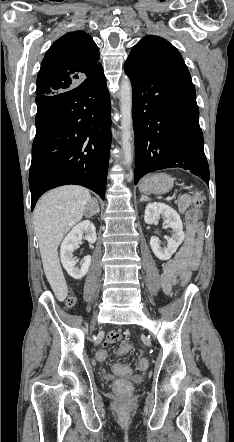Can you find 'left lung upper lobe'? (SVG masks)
I'll return each mask as SVG.
<instances>
[{
	"label": "left lung upper lobe",
	"instance_id": "5c2ea615",
	"mask_svg": "<svg viewBox=\"0 0 234 442\" xmlns=\"http://www.w3.org/2000/svg\"><path fill=\"white\" fill-rule=\"evenodd\" d=\"M127 61L147 68H185L178 50L165 39L148 35L132 49Z\"/></svg>",
	"mask_w": 234,
	"mask_h": 442
}]
</instances>
